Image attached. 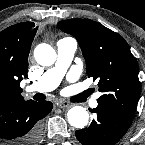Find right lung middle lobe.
Returning a JSON list of instances; mask_svg holds the SVG:
<instances>
[{"label":"right lung middle lobe","instance_id":"obj_1","mask_svg":"<svg viewBox=\"0 0 145 145\" xmlns=\"http://www.w3.org/2000/svg\"><path fill=\"white\" fill-rule=\"evenodd\" d=\"M4 90V85L0 83V93Z\"/></svg>","mask_w":145,"mask_h":145}]
</instances>
